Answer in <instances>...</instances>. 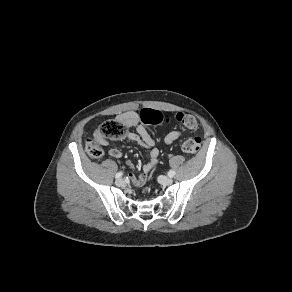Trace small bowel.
Listing matches in <instances>:
<instances>
[{
	"instance_id": "small-bowel-1",
	"label": "small bowel",
	"mask_w": 292,
	"mask_h": 292,
	"mask_svg": "<svg viewBox=\"0 0 292 292\" xmlns=\"http://www.w3.org/2000/svg\"><path fill=\"white\" fill-rule=\"evenodd\" d=\"M116 120L123 122L128 128L133 127L136 133H129L125 137L127 142L136 143L149 150L150 159L147 163L142 166V172L138 174L130 173L129 179L133 182L136 187H142L147 181V174L157 166L159 162V149L157 148L156 141L149 134L144 127L143 122L140 119L139 113L135 111L125 112L117 117ZM181 136V132L178 130L170 131L163 140V143L170 145L175 142ZM100 144L107 146L110 144V140L101 139ZM108 154L116 159L122 157V152L116 148H111ZM128 165L133 167L134 164L129 161Z\"/></svg>"
}]
</instances>
